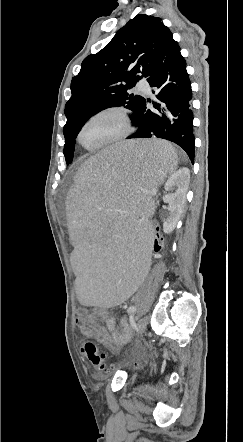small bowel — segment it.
<instances>
[{
  "label": "small bowel",
  "instance_id": "small-bowel-1",
  "mask_svg": "<svg viewBox=\"0 0 243 442\" xmlns=\"http://www.w3.org/2000/svg\"><path fill=\"white\" fill-rule=\"evenodd\" d=\"M76 324L85 338L94 337L98 343L111 351H118L131 335L126 320L121 321L119 332L116 320L97 309L82 308L78 312Z\"/></svg>",
  "mask_w": 243,
  "mask_h": 442
}]
</instances>
